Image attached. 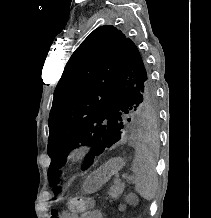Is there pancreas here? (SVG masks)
I'll return each mask as SVG.
<instances>
[{"mask_svg": "<svg viewBox=\"0 0 211 218\" xmlns=\"http://www.w3.org/2000/svg\"><path fill=\"white\" fill-rule=\"evenodd\" d=\"M124 188V182H120V180H114V186H111L108 192L109 198H112V200H118L120 194H123Z\"/></svg>", "mask_w": 211, "mask_h": 218, "instance_id": "1", "label": "pancreas"}]
</instances>
